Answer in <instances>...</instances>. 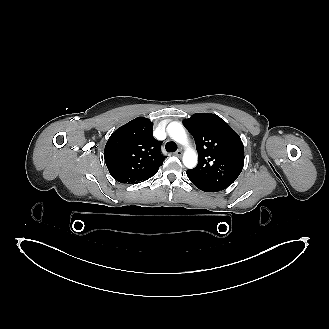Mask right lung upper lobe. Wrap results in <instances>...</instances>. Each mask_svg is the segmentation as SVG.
<instances>
[{
    "instance_id": "cb5924a9",
    "label": "right lung upper lobe",
    "mask_w": 329,
    "mask_h": 329,
    "mask_svg": "<svg viewBox=\"0 0 329 329\" xmlns=\"http://www.w3.org/2000/svg\"><path fill=\"white\" fill-rule=\"evenodd\" d=\"M153 123L144 117L118 128L105 145V163L111 176L121 183H138L156 174L166 156L161 141L152 136Z\"/></svg>"
}]
</instances>
